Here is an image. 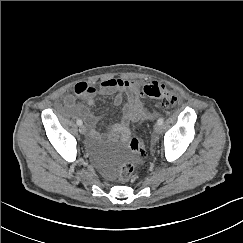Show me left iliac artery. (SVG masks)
I'll return each mask as SVG.
<instances>
[{"mask_svg":"<svg viewBox=\"0 0 243 243\" xmlns=\"http://www.w3.org/2000/svg\"><path fill=\"white\" fill-rule=\"evenodd\" d=\"M157 123H158L159 125H162V124L164 123V119H163L162 117L159 118L158 121H157Z\"/></svg>","mask_w":243,"mask_h":243,"instance_id":"left-iliac-artery-1","label":"left iliac artery"}]
</instances>
